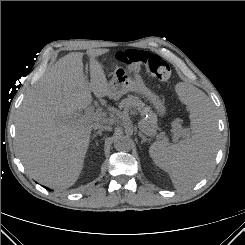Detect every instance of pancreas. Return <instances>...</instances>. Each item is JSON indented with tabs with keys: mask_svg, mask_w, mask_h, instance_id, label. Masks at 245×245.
Wrapping results in <instances>:
<instances>
[{
	"mask_svg": "<svg viewBox=\"0 0 245 245\" xmlns=\"http://www.w3.org/2000/svg\"><path fill=\"white\" fill-rule=\"evenodd\" d=\"M120 108L124 109H137L141 115H148L149 117L144 121L146 128L150 131L151 135H155L157 131V116L153 113L149 106H146L139 97L128 95L120 103Z\"/></svg>",
	"mask_w": 245,
	"mask_h": 245,
	"instance_id": "cf45deb5",
	"label": "pancreas"
}]
</instances>
